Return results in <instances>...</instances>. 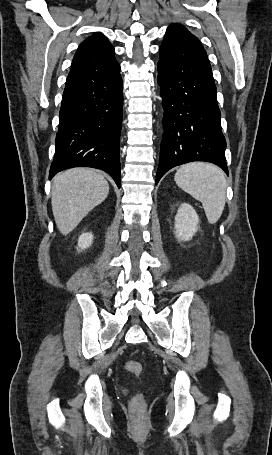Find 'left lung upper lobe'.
Masks as SVG:
<instances>
[{"mask_svg": "<svg viewBox=\"0 0 272 455\" xmlns=\"http://www.w3.org/2000/svg\"><path fill=\"white\" fill-rule=\"evenodd\" d=\"M159 52L160 58L170 65L183 63L210 65L199 39L181 24H171L167 28Z\"/></svg>", "mask_w": 272, "mask_h": 455, "instance_id": "obj_1", "label": "left lung upper lobe"}]
</instances>
